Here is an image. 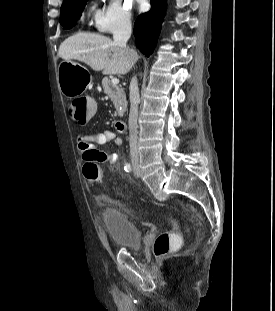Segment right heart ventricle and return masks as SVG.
Segmentation results:
<instances>
[{
	"mask_svg": "<svg viewBox=\"0 0 275 311\" xmlns=\"http://www.w3.org/2000/svg\"><path fill=\"white\" fill-rule=\"evenodd\" d=\"M90 14L94 15L95 17L99 14L98 10L94 5L90 8Z\"/></svg>",
	"mask_w": 275,
	"mask_h": 311,
	"instance_id": "right-heart-ventricle-1",
	"label": "right heart ventricle"
}]
</instances>
